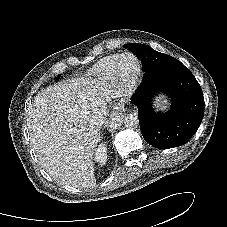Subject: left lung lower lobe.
Here are the masks:
<instances>
[{"label":"left lung lower lobe","mask_w":227,"mask_h":227,"mask_svg":"<svg viewBox=\"0 0 227 227\" xmlns=\"http://www.w3.org/2000/svg\"><path fill=\"white\" fill-rule=\"evenodd\" d=\"M135 54L143 67L151 66L159 57V53L147 45H142ZM157 93L170 97L172 106L167 113L154 111L152 99ZM131 102L138 108L144 139L159 149L185 144L197 131L204 116L201 87L183 64L144 74Z\"/></svg>","instance_id":"obj_1"}]
</instances>
